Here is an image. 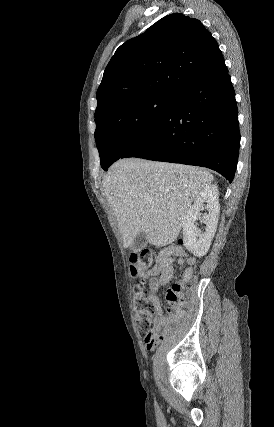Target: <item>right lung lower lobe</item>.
Wrapping results in <instances>:
<instances>
[{
    "label": "right lung lower lobe",
    "mask_w": 274,
    "mask_h": 427,
    "mask_svg": "<svg viewBox=\"0 0 274 427\" xmlns=\"http://www.w3.org/2000/svg\"><path fill=\"white\" fill-rule=\"evenodd\" d=\"M239 144L237 103L224 67L174 95L160 122L121 158L207 167L231 183Z\"/></svg>",
    "instance_id": "98d812e1"
}]
</instances>
